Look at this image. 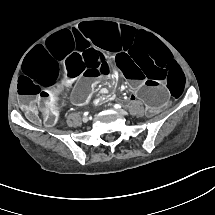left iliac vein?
Wrapping results in <instances>:
<instances>
[{
    "mask_svg": "<svg viewBox=\"0 0 215 215\" xmlns=\"http://www.w3.org/2000/svg\"><path fill=\"white\" fill-rule=\"evenodd\" d=\"M117 112L120 113L121 115H126L127 114V112L125 110H123V109H118Z\"/></svg>",
    "mask_w": 215,
    "mask_h": 215,
    "instance_id": "1",
    "label": "left iliac vein"
}]
</instances>
